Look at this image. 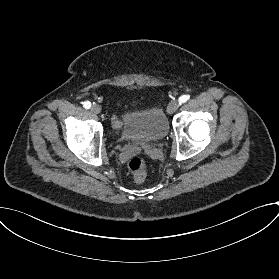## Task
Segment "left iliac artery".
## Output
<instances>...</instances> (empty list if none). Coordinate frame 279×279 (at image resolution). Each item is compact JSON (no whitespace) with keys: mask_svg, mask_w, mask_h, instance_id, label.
<instances>
[{"mask_svg":"<svg viewBox=\"0 0 279 279\" xmlns=\"http://www.w3.org/2000/svg\"><path fill=\"white\" fill-rule=\"evenodd\" d=\"M190 96L189 95H182L180 98H179V104H183L185 103L187 100H189Z\"/></svg>","mask_w":279,"mask_h":279,"instance_id":"1","label":"left iliac artery"}]
</instances>
